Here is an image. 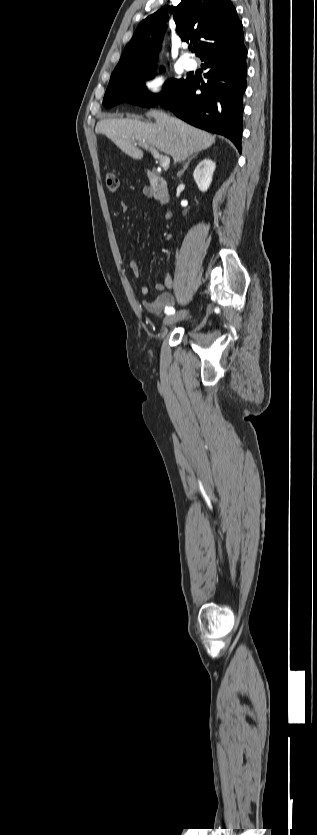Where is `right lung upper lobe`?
I'll return each instance as SVG.
<instances>
[{"instance_id": "1", "label": "right lung upper lobe", "mask_w": 317, "mask_h": 835, "mask_svg": "<svg viewBox=\"0 0 317 835\" xmlns=\"http://www.w3.org/2000/svg\"><path fill=\"white\" fill-rule=\"evenodd\" d=\"M173 13L177 33L182 40L193 42V52L201 56L219 44L243 37L242 23L231 0H182L177 7L165 6L149 15L137 27L114 70H148L157 61V54L169 19Z\"/></svg>"}]
</instances>
